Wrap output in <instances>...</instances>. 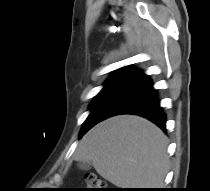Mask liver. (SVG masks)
<instances>
[{"label": "liver", "mask_w": 210, "mask_h": 191, "mask_svg": "<svg viewBox=\"0 0 210 191\" xmlns=\"http://www.w3.org/2000/svg\"><path fill=\"white\" fill-rule=\"evenodd\" d=\"M168 139L156 125L134 115L109 118L80 141L74 158L92 163L119 188H162L169 170Z\"/></svg>", "instance_id": "obj_1"}]
</instances>
